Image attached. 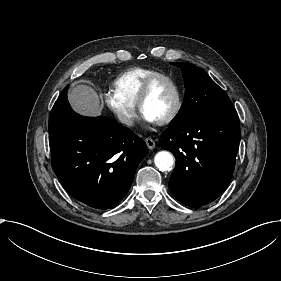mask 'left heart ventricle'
Returning a JSON list of instances; mask_svg holds the SVG:
<instances>
[{
	"label": "left heart ventricle",
	"instance_id": "1",
	"mask_svg": "<svg viewBox=\"0 0 281 281\" xmlns=\"http://www.w3.org/2000/svg\"><path fill=\"white\" fill-rule=\"evenodd\" d=\"M175 103V93L166 82L158 84L143 105V113L155 123L164 120L172 111Z\"/></svg>",
	"mask_w": 281,
	"mask_h": 281
}]
</instances>
